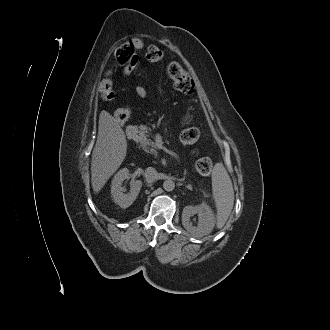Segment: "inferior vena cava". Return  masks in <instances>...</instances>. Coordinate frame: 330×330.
Segmentation results:
<instances>
[{
    "label": "inferior vena cava",
    "instance_id": "602c4592",
    "mask_svg": "<svg viewBox=\"0 0 330 330\" xmlns=\"http://www.w3.org/2000/svg\"><path fill=\"white\" fill-rule=\"evenodd\" d=\"M145 179L148 183H152L158 179V172L152 167H148L144 173Z\"/></svg>",
    "mask_w": 330,
    "mask_h": 330
}]
</instances>
